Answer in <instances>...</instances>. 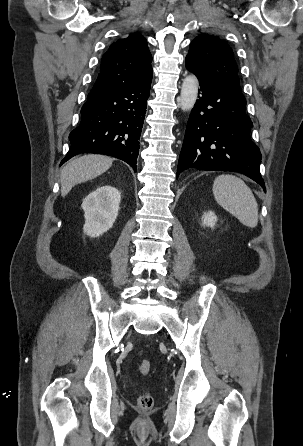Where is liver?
<instances>
[{"instance_id": "1", "label": "liver", "mask_w": 303, "mask_h": 446, "mask_svg": "<svg viewBox=\"0 0 303 446\" xmlns=\"http://www.w3.org/2000/svg\"><path fill=\"white\" fill-rule=\"evenodd\" d=\"M113 159L103 155L88 154L68 162L60 176L61 195L65 197L77 184L93 179L107 171Z\"/></svg>"}]
</instances>
